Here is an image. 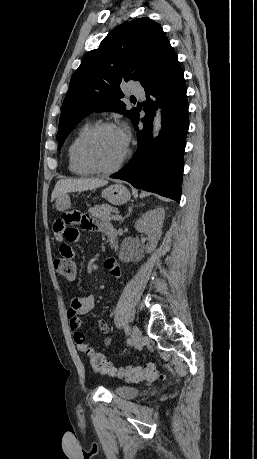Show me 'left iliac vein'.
Returning <instances> with one entry per match:
<instances>
[{"label":"left iliac vein","mask_w":257,"mask_h":459,"mask_svg":"<svg viewBox=\"0 0 257 459\" xmlns=\"http://www.w3.org/2000/svg\"><path fill=\"white\" fill-rule=\"evenodd\" d=\"M141 339V331L137 326H133L131 332V340L133 342H139Z\"/></svg>","instance_id":"4c4485c4"}]
</instances>
